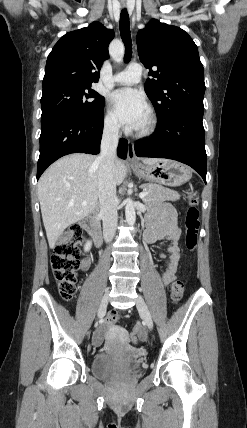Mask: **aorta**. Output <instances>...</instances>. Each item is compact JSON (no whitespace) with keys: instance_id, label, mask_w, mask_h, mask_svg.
Segmentation results:
<instances>
[{"instance_id":"762f6f07","label":"aorta","mask_w":247,"mask_h":428,"mask_svg":"<svg viewBox=\"0 0 247 428\" xmlns=\"http://www.w3.org/2000/svg\"><path fill=\"white\" fill-rule=\"evenodd\" d=\"M111 56L115 62L120 63L124 58V48L120 45L117 49L111 50ZM125 217L129 225H134L136 221V213L134 208V203L131 199L125 200Z\"/></svg>"}]
</instances>
